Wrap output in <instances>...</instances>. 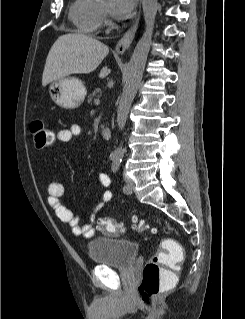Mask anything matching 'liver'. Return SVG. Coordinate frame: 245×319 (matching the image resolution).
I'll use <instances>...</instances> for the list:
<instances>
[{
	"label": "liver",
	"instance_id": "liver-1",
	"mask_svg": "<svg viewBox=\"0 0 245 319\" xmlns=\"http://www.w3.org/2000/svg\"><path fill=\"white\" fill-rule=\"evenodd\" d=\"M109 48L88 35L68 33L61 35L51 47L42 76V85L72 74H88L94 71L107 56ZM110 70L104 67L100 78Z\"/></svg>",
	"mask_w": 245,
	"mask_h": 319
}]
</instances>
